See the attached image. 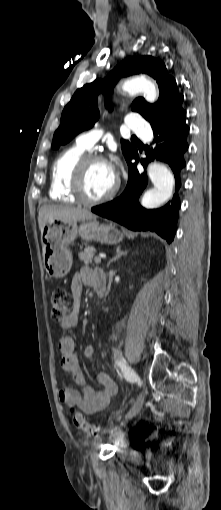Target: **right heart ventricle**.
<instances>
[{
  "instance_id": "e07e8e85",
  "label": "right heart ventricle",
  "mask_w": 221,
  "mask_h": 510,
  "mask_svg": "<svg viewBox=\"0 0 221 510\" xmlns=\"http://www.w3.org/2000/svg\"><path fill=\"white\" fill-rule=\"evenodd\" d=\"M87 149L78 143L63 150L55 159L51 169L49 196L53 200L75 203L69 181L75 163L86 153Z\"/></svg>"
}]
</instances>
